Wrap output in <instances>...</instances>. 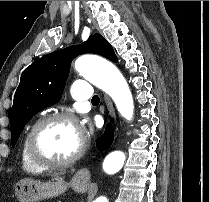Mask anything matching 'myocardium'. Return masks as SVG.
Listing matches in <instances>:
<instances>
[{
    "label": "myocardium",
    "mask_w": 209,
    "mask_h": 202,
    "mask_svg": "<svg viewBox=\"0 0 209 202\" xmlns=\"http://www.w3.org/2000/svg\"><path fill=\"white\" fill-rule=\"evenodd\" d=\"M54 121H67L79 127L78 119L75 116L70 115L68 113H64V112H56V113L45 115L41 117L40 119H38L33 124V126L31 127L28 133L27 142H26V152L30 161L37 167L44 169V170L45 169H62V168H66L74 164L84 154L85 148H86V140H85V137L82 135L77 151L72 156L68 157L67 159L53 162V161H48L39 157L35 150V145H34L35 137L43 126Z\"/></svg>",
    "instance_id": "f54148a6"
}]
</instances>
